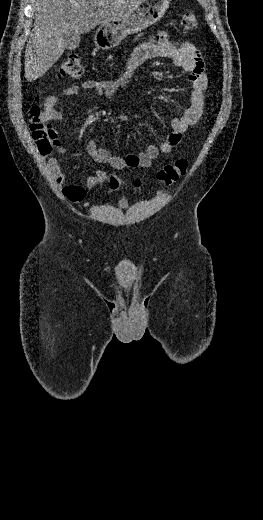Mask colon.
I'll return each mask as SVG.
<instances>
[{"label":"colon","mask_w":263,"mask_h":520,"mask_svg":"<svg viewBox=\"0 0 263 520\" xmlns=\"http://www.w3.org/2000/svg\"><path fill=\"white\" fill-rule=\"evenodd\" d=\"M197 25L196 13L193 10L185 11L181 17L182 29L190 32L195 30ZM82 75L83 66L78 54L69 55L58 70L59 77L77 79ZM29 126L39 152L42 156L48 157L58 145V138L56 131L44 119L43 111L38 106H33L29 112ZM188 167L189 162L186 159H178L174 163L161 168L157 173V180L164 185H171L186 174ZM106 182L112 190H118L125 186V181L113 174L106 177ZM141 184L142 182L139 179L133 182L135 188H139Z\"/></svg>","instance_id":"5ec220e1"}]
</instances>
